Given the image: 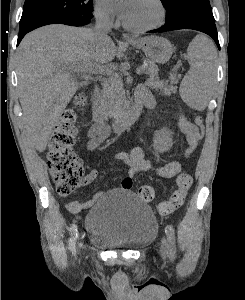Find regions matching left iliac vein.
<instances>
[{"instance_id":"1","label":"left iliac vein","mask_w":245,"mask_h":300,"mask_svg":"<svg viewBox=\"0 0 245 300\" xmlns=\"http://www.w3.org/2000/svg\"><path fill=\"white\" fill-rule=\"evenodd\" d=\"M167 254H168V243L167 240L163 238L160 246V255L163 259H165Z\"/></svg>"}]
</instances>
